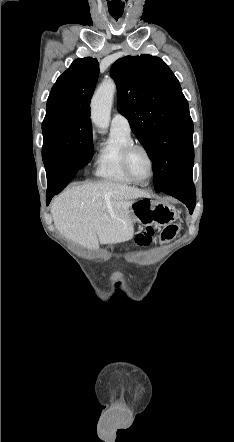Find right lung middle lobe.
I'll use <instances>...</instances> for the list:
<instances>
[{"mask_svg": "<svg viewBox=\"0 0 234 442\" xmlns=\"http://www.w3.org/2000/svg\"><path fill=\"white\" fill-rule=\"evenodd\" d=\"M44 164L65 157L79 169L92 159V128L78 119L56 117L44 119L42 123Z\"/></svg>", "mask_w": 234, "mask_h": 442, "instance_id": "1", "label": "right lung middle lobe"}]
</instances>
